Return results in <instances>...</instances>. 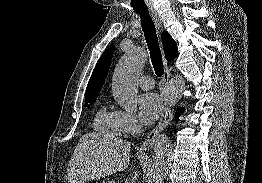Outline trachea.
Segmentation results:
<instances>
[{"label": "trachea", "mask_w": 262, "mask_h": 183, "mask_svg": "<svg viewBox=\"0 0 262 183\" xmlns=\"http://www.w3.org/2000/svg\"><path fill=\"white\" fill-rule=\"evenodd\" d=\"M137 14H139L141 18L142 29L144 32L146 43L148 45V49L150 51L153 68L156 75L158 77H161L164 73V69L155 25L148 11H140L137 12Z\"/></svg>", "instance_id": "obj_1"}]
</instances>
